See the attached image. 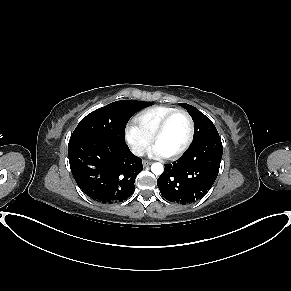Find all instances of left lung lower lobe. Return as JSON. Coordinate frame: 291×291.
<instances>
[{
    "mask_svg": "<svg viewBox=\"0 0 291 291\" xmlns=\"http://www.w3.org/2000/svg\"><path fill=\"white\" fill-rule=\"evenodd\" d=\"M219 135L191 144L177 162L165 164L157 179L161 195L170 202L190 204L202 198L217 178L222 159Z\"/></svg>",
    "mask_w": 291,
    "mask_h": 291,
    "instance_id": "0a47b994",
    "label": "left lung lower lobe"
}]
</instances>
